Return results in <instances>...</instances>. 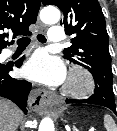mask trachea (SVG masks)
<instances>
[{"label":"trachea","instance_id":"1","mask_svg":"<svg viewBox=\"0 0 117 131\" xmlns=\"http://www.w3.org/2000/svg\"><path fill=\"white\" fill-rule=\"evenodd\" d=\"M37 39L39 42H46V38L42 34H38ZM29 43H30V39L28 37H23L17 40L18 46H27Z\"/></svg>","mask_w":117,"mask_h":131}]
</instances>
